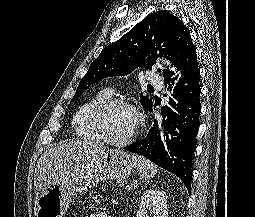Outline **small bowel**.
<instances>
[{"instance_id":"small-bowel-1","label":"small bowel","mask_w":255,"mask_h":217,"mask_svg":"<svg viewBox=\"0 0 255 217\" xmlns=\"http://www.w3.org/2000/svg\"><path fill=\"white\" fill-rule=\"evenodd\" d=\"M89 217H112V216L106 213H96V214H92Z\"/></svg>"}]
</instances>
